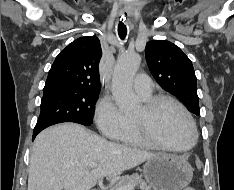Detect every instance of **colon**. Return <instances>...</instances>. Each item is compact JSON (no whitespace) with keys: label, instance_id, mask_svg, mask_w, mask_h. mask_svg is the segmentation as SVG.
Listing matches in <instances>:
<instances>
[{"label":"colon","instance_id":"5ec220e1","mask_svg":"<svg viewBox=\"0 0 234 190\" xmlns=\"http://www.w3.org/2000/svg\"><path fill=\"white\" fill-rule=\"evenodd\" d=\"M184 190H196V189L192 186H189V187H186Z\"/></svg>","mask_w":234,"mask_h":190}]
</instances>
